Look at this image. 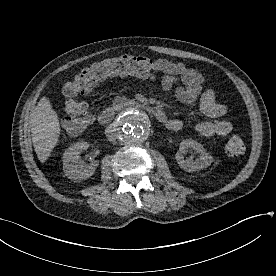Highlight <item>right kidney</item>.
<instances>
[{
  "instance_id": "right-kidney-1",
  "label": "right kidney",
  "mask_w": 276,
  "mask_h": 276,
  "mask_svg": "<svg viewBox=\"0 0 276 276\" xmlns=\"http://www.w3.org/2000/svg\"><path fill=\"white\" fill-rule=\"evenodd\" d=\"M89 144L85 141L70 146L63 154V170L65 175L74 181L86 180L92 176L98 166L97 161L83 165L80 154L87 150Z\"/></svg>"
}]
</instances>
